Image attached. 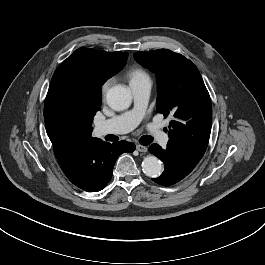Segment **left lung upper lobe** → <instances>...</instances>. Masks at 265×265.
I'll return each mask as SVG.
<instances>
[{
    "label": "left lung upper lobe",
    "mask_w": 265,
    "mask_h": 265,
    "mask_svg": "<svg viewBox=\"0 0 265 265\" xmlns=\"http://www.w3.org/2000/svg\"><path fill=\"white\" fill-rule=\"evenodd\" d=\"M134 58L156 74L157 111L173 117L166 149L191 172L206 151L212 125L211 99L203 79L190 60L168 49L136 52Z\"/></svg>",
    "instance_id": "obj_1"
}]
</instances>
